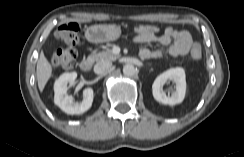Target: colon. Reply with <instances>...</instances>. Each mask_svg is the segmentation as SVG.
Returning a JSON list of instances; mask_svg holds the SVG:
<instances>
[{"mask_svg":"<svg viewBox=\"0 0 244 157\" xmlns=\"http://www.w3.org/2000/svg\"><path fill=\"white\" fill-rule=\"evenodd\" d=\"M159 32V28L152 24H141L133 28V33L137 35H154ZM56 37L64 42L66 46L56 49L51 57L54 66L69 70L73 68L77 56L74 46L82 42L81 27L79 24L70 22L61 25L56 31ZM193 59H200L202 50L199 44L194 43L191 49Z\"/></svg>","mask_w":244,"mask_h":157,"instance_id":"colon-1","label":"colon"}]
</instances>
